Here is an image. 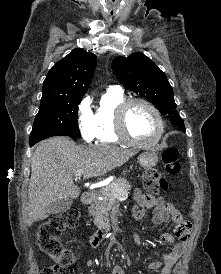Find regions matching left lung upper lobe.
Listing matches in <instances>:
<instances>
[{"mask_svg": "<svg viewBox=\"0 0 221 274\" xmlns=\"http://www.w3.org/2000/svg\"><path fill=\"white\" fill-rule=\"evenodd\" d=\"M112 70L127 88L154 104L163 115H171V123L185 132L184 122L176 111L173 89L154 62L142 53L129 57H117L112 61Z\"/></svg>", "mask_w": 221, "mask_h": 274, "instance_id": "left-lung-upper-lobe-1", "label": "left lung upper lobe"}]
</instances>
